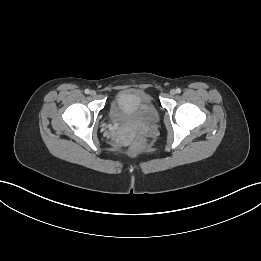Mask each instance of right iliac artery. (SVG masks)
<instances>
[{
    "mask_svg": "<svg viewBox=\"0 0 261 261\" xmlns=\"http://www.w3.org/2000/svg\"><path fill=\"white\" fill-rule=\"evenodd\" d=\"M85 93H86V94H89V93H90V90H89V89H85Z\"/></svg>",
    "mask_w": 261,
    "mask_h": 261,
    "instance_id": "1",
    "label": "right iliac artery"
}]
</instances>
